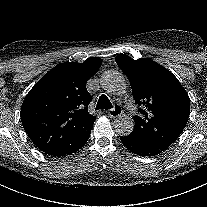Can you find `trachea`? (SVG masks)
Instances as JSON below:
<instances>
[{
    "mask_svg": "<svg viewBox=\"0 0 207 207\" xmlns=\"http://www.w3.org/2000/svg\"><path fill=\"white\" fill-rule=\"evenodd\" d=\"M111 108H113V106L110 100L107 98V96L105 95L100 96L96 109L104 110V109H111Z\"/></svg>",
    "mask_w": 207,
    "mask_h": 207,
    "instance_id": "trachea-1",
    "label": "trachea"
}]
</instances>
